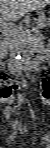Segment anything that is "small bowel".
<instances>
[{
	"instance_id": "1",
	"label": "small bowel",
	"mask_w": 50,
	"mask_h": 148,
	"mask_svg": "<svg viewBox=\"0 0 50 148\" xmlns=\"http://www.w3.org/2000/svg\"><path fill=\"white\" fill-rule=\"evenodd\" d=\"M11 111H12V110H11V108H10L9 106H6V107L4 108V113H5V115H6L7 117L10 116ZM42 142L45 144V147H46V148H49V147H50V144H49L50 139H49V137H48L47 135L42 137Z\"/></svg>"
}]
</instances>
